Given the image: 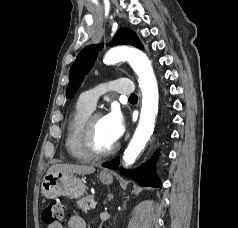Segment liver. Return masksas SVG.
<instances>
[{"mask_svg": "<svg viewBox=\"0 0 238 228\" xmlns=\"http://www.w3.org/2000/svg\"><path fill=\"white\" fill-rule=\"evenodd\" d=\"M49 171H59L63 173H69V174H79V175H85V174H91L95 172V168L93 166H87V165H74V164H56L52 165Z\"/></svg>", "mask_w": 238, "mask_h": 228, "instance_id": "liver-1", "label": "liver"}]
</instances>
